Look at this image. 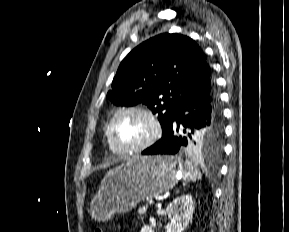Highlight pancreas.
<instances>
[{"instance_id":"pancreas-1","label":"pancreas","mask_w":289,"mask_h":232,"mask_svg":"<svg viewBox=\"0 0 289 232\" xmlns=\"http://www.w3.org/2000/svg\"><path fill=\"white\" fill-rule=\"evenodd\" d=\"M146 210H147V206H143V207L139 208V210H138L139 216L142 217V215L146 212Z\"/></svg>"}]
</instances>
